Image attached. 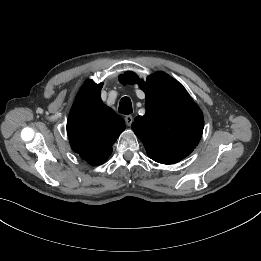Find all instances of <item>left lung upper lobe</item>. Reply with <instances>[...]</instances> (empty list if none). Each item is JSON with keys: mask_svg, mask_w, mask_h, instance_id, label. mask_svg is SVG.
<instances>
[{"mask_svg": "<svg viewBox=\"0 0 261 261\" xmlns=\"http://www.w3.org/2000/svg\"><path fill=\"white\" fill-rule=\"evenodd\" d=\"M138 82L146 94V113L138 116L132 129L141 139L148 156L162 164L187 157L198 145L203 132V115L184 87L164 72L139 80L133 72L119 77Z\"/></svg>", "mask_w": 261, "mask_h": 261, "instance_id": "obj_1", "label": "left lung upper lobe"}]
</instances>
